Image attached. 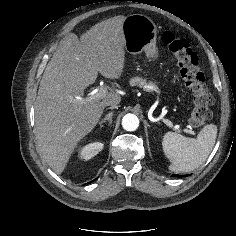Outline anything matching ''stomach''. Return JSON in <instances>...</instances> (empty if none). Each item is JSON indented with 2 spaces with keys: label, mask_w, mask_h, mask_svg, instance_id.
Returning <instances> with one entry per match:
<instances>
[{
  "label": "stomach",
  "mask_w": 236,
  "mask_h": 236,
  "mask_svg": "<svg viewBox=\"0 0 236 236\" xmlns=\"http://www.w3.org/2000/svg\"><path fill=\"white\" fill-rule=\"evenodd\" d=\"M125 49L132 55L145 52L149 61H156L159 53L156 47L157 27L147 16L129 15L123 22Z\"/></svg>",
  "instance_id": "0dacf381"
}]
</instances>
